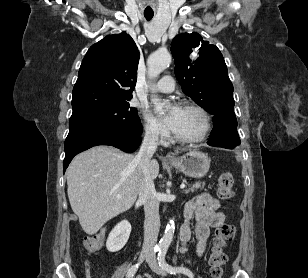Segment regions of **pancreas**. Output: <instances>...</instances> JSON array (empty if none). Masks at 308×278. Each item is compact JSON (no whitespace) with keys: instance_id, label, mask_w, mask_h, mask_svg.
Listing matches in <instances>:
<instances>
[{"instance_id":"1","label":"pancreas","mask_w":308,"mask_h":278,"mask_svg":"<svg viewBox=\"0 0 308 278\" xmlns=\"http://www.w3.org/2000/svg\"><path fill=\"white\" fill-rule=\"evenodd\" d=\"M205 186V183L196 182L194 183L189 189H187L185 192H195L197 189H202Z\"/></svg>"}]
</instances>
